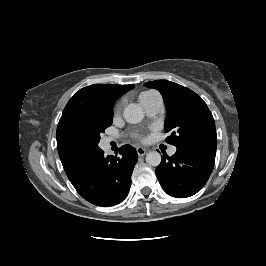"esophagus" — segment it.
Masks as SVG:
<instances>
[{
    "label": "esophagus",
    "mask_w": 266,
    "mask_h": 266,
    "mask_svg": "<svg viewBox=\"0 0 266 266\" xmlns=\"http://www.w3.org/2000/svg\"><path fill=\"white\" fill-rule=\"evenodd\" d=\"M136 151L139 157H143L147 153V149L143 147H137Z\"/></svg>",
    "instance_id": "esophagus-1"
}]
</instances>
